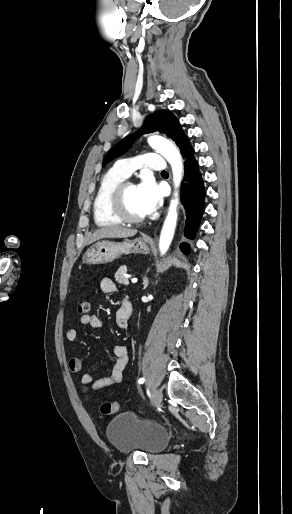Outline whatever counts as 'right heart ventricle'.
<instances>
[{
	"label": "right heart ventricle",
	"instance_id": "e07e8e85",
	"mask_svg": "<svg viewBox=\"0 0 292 514\" xmlns=\"http://www.w3.org/2000/svg\"><path fill=\"white\" fill-rule=\"evenodd\" d=\"M115 169L108 171L100 180L92 203L94 221L98 226H112L119 221L107 209V195L112 188L125 181Z\"/></svg>",
	"mask_w": 292,
	"mask_h": 514
}]
</instances>
